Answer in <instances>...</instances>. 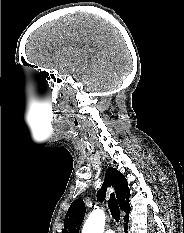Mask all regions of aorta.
Wrapping results in <instances>:
<instances>
[{
    "label": "aorta",
    "mask_w": 184,
    "mask_h": 233,
    "mask_svg": "<svg viewBox=\"0 0 184 233\" xmlns=\"http://www.w3.org/2000/svg\"><path fill=\"white\" fill-rule=\"evenodd\" d=\"M105 213L103 210H94L88 216L82 233H104Z\"/></svg>",
    "instance_id": "obj_1"
}]
</instances>
